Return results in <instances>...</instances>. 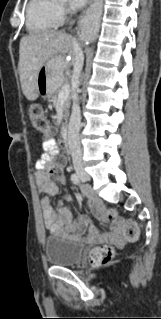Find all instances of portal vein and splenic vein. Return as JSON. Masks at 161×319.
Masks as SVG:
<instances>
[{
  "mask_svg": "<svg viewBox=\"0 0 161 319\" xmlns=\"http://www.w3.org/2000/svg\"><path fill=\"white\" fill-rule=\"evenodd\" d=\"M69 93H70V85L66 84L59 91L58 99H66L69 96Z\"/></svg>",
  "mask_w": 161,
  "mask_h": 319,
  "instance_id": "obj_1",
  "label": "portal vein and splenic vein"
}]
</instances>
